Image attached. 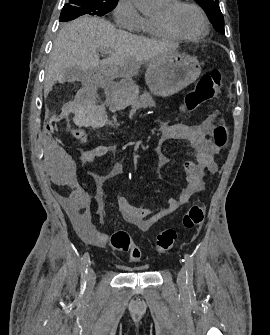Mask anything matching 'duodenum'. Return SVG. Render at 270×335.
I'll use <instances>...</instances> for the list:
<instances>
[{
  "label": "duodenum",
  "instance_id": "duodenum-1",
  "mask_svg": "<svg viewBox=\"0 0 270 335\" xmlns=\"http://www.w3.org/2000/svg\"><path fill=\"white\" fill-rule=\"evenodd\" d=\"M106 92L108 95V106L111 110L118 111L125 107L126 96L120 84L111 80L108 81L106 84Z\"/></svg>",
  "mask_w": 270,
  "mask_h": 335
}]
</instances>
